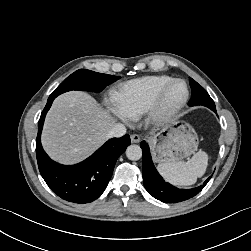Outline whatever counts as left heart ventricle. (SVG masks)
I'll return each mask as SVG.
<instances>
[{
    "instance_id": "obj_1",
    "label": "left heart ventricle",
    "mask_w": 251,
    "mask_h": 251,
    "mask_svg": "<svg viewBox=\"0 0 251 251\" xmlns=\"http://www.w3.org/2000/svg\"><path fill=\"white\" fill-rule=\"evenodd\" d=\"M185 88L183 84H174L167 92L165 96V104L167 106H172L177 104L184 97Z\"/></svg>"
}]
</instances>
